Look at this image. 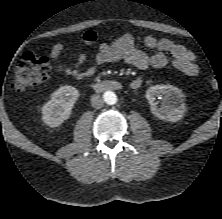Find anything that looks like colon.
<instances>
[{
  "label": "colon",
  "mask_w": 222,
  "mask_h": 219,
  "mask_svg": "<svg viewBox=\"0 0 222 219\" xmlns=\"http://www.w3.org/2000/svg\"><path fill=\"white\" fill-rule=\"evenodd\" d=\"M51 74L50 60L46 56L32 52L24 53L18 60L12 78V87L16 91H23L47 81ZM211 85L216 86L215 78Z\"/></svg>",
  "instance_id": "5ec220e1"
}]
</instances>
